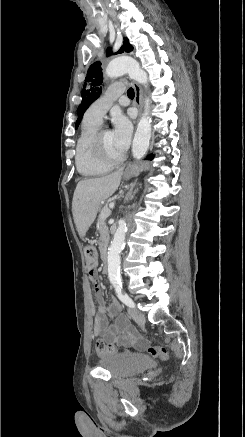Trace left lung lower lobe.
I'll list each match as a JSON object with an SVG mask.
<instances>
[{
  "label": "left lung lower lobe",
  "mask_w": 245,
  "mask_h": 437,
  "mask_svg": "<svg viewBox=\"0 0 245 437\" xmlns=\"http://www.w3.org/2000/svg\"><path fill=\"white\" fill-rule=\"evenodd\" d=\"M147 159L152 160V159H153V155H149V156L147 157Z\"/></svg>",
  "instance_id": "1"
}]
</instances>
